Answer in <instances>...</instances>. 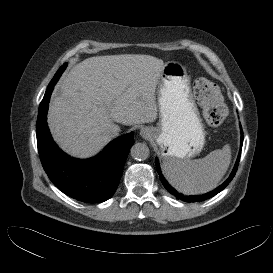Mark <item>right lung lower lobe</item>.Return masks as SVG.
I'll list each match as a JSON object with an SVG mask.
<instances>
[{"label": "right lung lower lobe", "mask_w": 273, "mask_h": 273, "mask_svg": "<svg viewBox=\"0 0 273 273\" xmlns=\"http://www.w3.org/2000/svg\"><path fill=\"white\" fill-rule=\"evenodd\" d=\"M54 85L45 92L36 123L43 168L52 183L66 195L85 203L104 202L112 197L119 184L134 143L133 132L113 140L92 159L78 160L68 156L55 144L47 125L48 104Z\"/></svg>", "instance_id": "obj_1"}]
</instances>
